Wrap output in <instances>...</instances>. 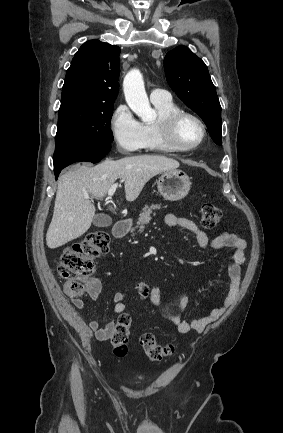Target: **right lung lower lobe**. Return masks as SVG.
Segmentation results:
<instances>
[{
  "instance_id": "98d812e1",
  "label": "right lung lower lobe",
  "mask_w": 283,
  "mask_h": 433,
  "mask_svg": "<svg viewBox=\"0 0 283 433\" xmlns=\"http://www.w3.org/2000/svg\"><path fill=\"white\" fill-rule=\"evenodd\" d=\"M111 149V146L95 147L85 144L64 142L56 144L53 156L56 179L66 166L79 161L99 162Z\"/></svg>"
}]
</instances>
